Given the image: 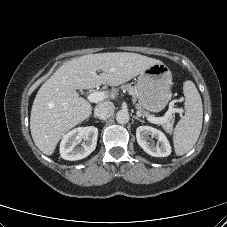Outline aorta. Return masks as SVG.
<instances>
[{
  "label": "aorta",
  "mask_w": 227,
  "mask_h": 227,
  "mask_svg": "<svg viewBox=\"0 0 227 227\" xmlns=\"http://www.w3.org/2000/svg\"><path fill=\"white\" fill-rule=\"evenodd\" d=\"M129 119H130L129 113L126 110H120L116 114V121L119 124H126L129 122Z\"/></svg>",
  "instance_id": "aorta-1"
}]
</instances>
